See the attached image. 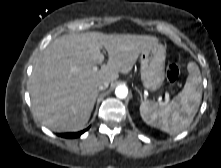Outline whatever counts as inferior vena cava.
<instances>
[{"label":"inferior vena cava","instance_id":"602c4592","mask_svg":"<svg viewBox=\"0 0 221 168\" xmlns=\"http://www.w3.org/2000/svg\"><path fill=\"white\" fill-rule=\"evenodd\" d=\"M108 85H109L108 82L101 83V84L98 86V89H99V90H103V89L107 88Z\"/></svg>","mask_w":221,"mask_h":168}]
</instances>
